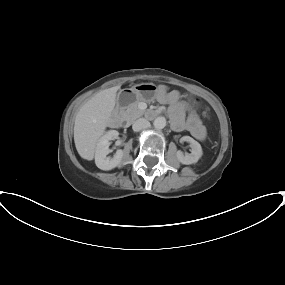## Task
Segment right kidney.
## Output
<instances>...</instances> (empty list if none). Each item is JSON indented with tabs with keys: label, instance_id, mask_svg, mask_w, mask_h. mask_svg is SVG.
I'll use <instances>...</instances> for the list:
<instances>
[{
	"label": "right kidney",
	"instance_id": "right-kidney-1",
	"mask_svg": "<svg viewBox=\"0 0 285 285\" xmlns=\"http://www.w3.org/2000/svg\"><path fill=\"white\" fill-rule=\"evenodd\" d=\"M118 135V131L110 130L99 139L95 149V164L99 169L111 170L122 163L124 152L121 149L116 151L113 158L106 157L110 152L109 141Z\"/></svg>",
	"mask_w": 285,
	"mask_h": 285
}]
</instances>
